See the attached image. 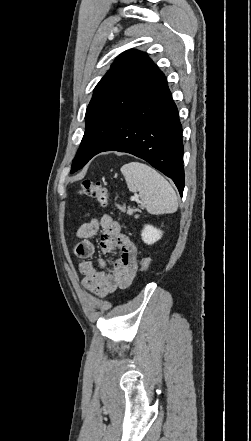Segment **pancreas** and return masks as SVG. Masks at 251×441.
Segmentation results:
<instances>
[{
	"label": "pancreas",
	"mask_w": 251,
	"mask_h": 441,
	"mask_svg": "<svg viewBox=\"0 0 251 441\" xmlns=\"http://www.w3.org/2000/svg\"><path fill=\"white\" fill-rule=\"evenodd\" d=\"M117 207H118L122 212H126V206H125V204L122 205V206L117 205ZM134 211H135V212H139V213L141 212L139 208H135Z\"/></svg>",
	"instance_id": "pancreas-1"
}]
</instances>
